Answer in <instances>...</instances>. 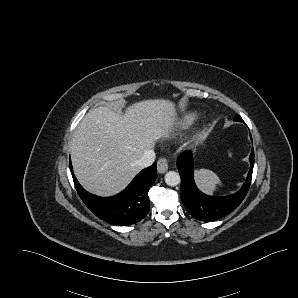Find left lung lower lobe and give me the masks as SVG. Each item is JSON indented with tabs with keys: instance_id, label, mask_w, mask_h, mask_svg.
Instances as JSON below:
<instances>
[{
	"instance_id": "obj_1",
	"label": "left lung lower lobe",
	"mask_w": 298,
	"mask_h": 298,
	"mask_svg": "<svg viewBox=\"0 0 298 298\" xmlns=\"http://www.w3.org/2000/svg\"><path fill=\"white\" fill-rule=\"evenodd\" d=\"M242 122L244 121L242 120ZM249 160L251 167L242 188L236 194L226 197H215L205 195L198 190L193 178L192 152L186 151L182 153L177 159V168L181 176L180 196L186 210L196 219L207 222L221 218L236 209L245 198L250 187L254 166L253 148Z\"/></svg>"
}]
</instances>
